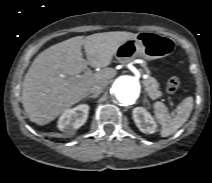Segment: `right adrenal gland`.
Listing matches in <instances>:
<instances>
[{"instance_id":"right-adrenal-gland-1","label":"right adrenal gland","mask_w":212,"mask_h":183,"mask_svg":"<svg viewBox=\"0 0 212 183\" xmlns=\"http://www.w3.org/2000/svg\"><path fill=\"white\" fill-rule=\"evenodd\" d=\"M97 97H98L97 95H88L86 97V100L91 99V98L96 99Z\"/></svg>"}]
</instances>
